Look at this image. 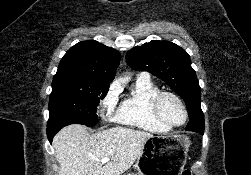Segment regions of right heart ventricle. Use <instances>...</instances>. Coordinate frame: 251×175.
<instances>
[{"label": "right heart ventricle", "mask_w": 251, "mask_h": 175, "mask_svg": "<svg viewBox=\"0 0 251 175\" xmlns=\"http://www.w3.org/2000/svg\"><path fill=\"white\" fill-rule=\"evenodd\" d=\"M158 91L151 80L137 79L130 95L122 102L116 120L153 134H168L170 130L161 125L150 110V100Z\"/></svg>", "instance_id": "right-heart-ventricle-1"}]
</instances>
